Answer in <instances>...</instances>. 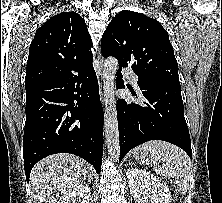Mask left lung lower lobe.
Masks as SVG:
<instances>
[{
	"label": "left lung lower lobe",
	"instance_id": "0a47b994",
	"mask_svg": "<svg viewBox=\"0 0 222 203\" xmlns=\"http://www.w3.org/2000/svg\"><path fill=\"white\" fill-rule=\"evenodd\" d=\"M117 76V88H124L121 69L117 71ZM138 85L145 99L142 105L129 104L124 99L117 101L119 161L132 148L150 140L175 144L192 158L180 83L170 80H139Z\"/></svg>",
	"mask_w": 222,
	"mask_h": 203
}]
</instances>
